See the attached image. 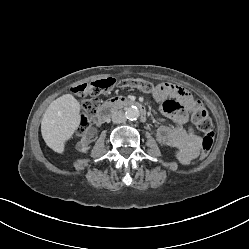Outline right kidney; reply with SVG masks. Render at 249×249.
<instances>
[{"instance_id":"1","label":"right kidney","mask_w":249,"mask_h":249,"mask_svg":"<svg viewBox=\"0 0 249 249\" xmlns=\"http://www.w3.org/2000/svg\"><path fill=\"white\" fill-rule=\"evenodd\" d=\"M98 135V129L91 127L87 133L82 135L81 141L77 145V149L83 153H87L89 146L95 141V137Z\"/></svg>"}]
</instances>
